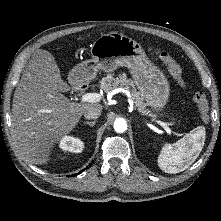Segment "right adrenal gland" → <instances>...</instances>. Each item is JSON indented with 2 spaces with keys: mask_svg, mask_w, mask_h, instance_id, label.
<instances>
[{
  "mask_svg": "<svg viewBox=\"0 0 221 221\" xmlns=\"http://www.w3.org/2000/svg\"><path fill=\"white\" fill-rule=\"evenodd\" d=\"M96 121H84V124L89 125L90 127H93L95 125Z\"/></svg>",
  "mask_w": 221,
  "mask_h": 221,
  "instance_id": "right-adrenal-gland-1",
  "label": "right adrenal gland"
}]
</instances>
